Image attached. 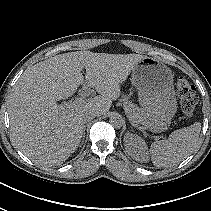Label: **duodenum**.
I'll use <instances>...</instances> for the list:
<instances>
[{
	"label": "duodenum",
	"mask_w": 211,
	"mask_h": 211,
	"mask_svg": "<svg viewBox=\"0 0 211 211\" xmlns=\"http://www.w3.org/2000/svg\"><path fill=\"white\" fill-rule=\"evenodd\" d=\"M86 93H87V90L86 89L82 90V94L83 95H85Z\"/></svg>",
	"instance_id": "obj_1"
}]
</instances>
